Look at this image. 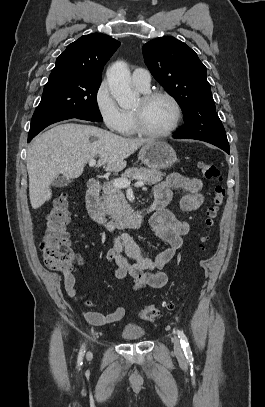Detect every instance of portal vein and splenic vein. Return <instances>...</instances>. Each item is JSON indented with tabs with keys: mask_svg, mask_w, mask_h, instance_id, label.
I'll list each match as a JSON object with an SVG mask.
<instances>
[{
	"mask_svg": "<svg viewBox=\"0 0 265 407\" xmlns=\"http://www.w3.org/2000/svg\"><path fill=\"white\" fill-rule=\"evenodd\" d=\"M95 165H96L95 159H91L89 161V166L93 167ZM130 184H131V182L126 178H118V179L113 180V185L115 187H118V188H127V187L130 186ZM135 186L136 187H143L144 182L143 181H138V182L135 183Z\"/></svg>",
	"mask_w": 265,
	"mask_h": 407,
	"instance_id": "1",
	"label": "portal vein and splenic vein"
}]
</instances>
